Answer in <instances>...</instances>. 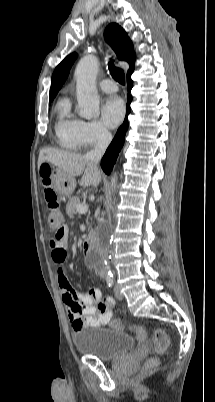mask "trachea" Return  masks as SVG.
Instances as JSON below:
<instances>
[{"label":"trachea","mask_w":215,"mask_h":402,"mask_svg":"<svg viewBox=\"0 0 215 402\" xmlns=\"http://www.w3.org/2000/svg\"><path fill=\"white\" fill-rule=\"evenodd\" d=\"M109 66V71L110 74L112 75V77L119 82L120 84H125V74L124 71L122 69H120L119 67H115L114 64L112 63V61H110L108 63Z\"/></svg>","instance_id":"trachea-1"}]
</instances>
